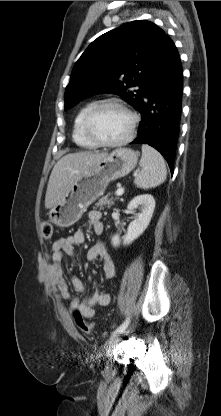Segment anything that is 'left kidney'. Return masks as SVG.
I'll return each instance as SVG.
<instances>
[{
	"mask_svg": "<svg viewBox=\"0 0 221 416\" xmlns=\"http://www.w3.org/2000/svg\"><path fill=\"white\" fill-rule=\"evenodd\" d=\"M127 208L132 213H134L135 210L139 208L140 212L136 214L134 213L135 218L129 224L127 234L123 239L124 245L131 244L148 227L154 212L155 200L153 196L149 194L139 195L130 201ZM111 243L114 247L119 246L121 243L120 237L118 235H114L112 237Z\"/></svg>",
	"mask_w": 221,
	"mask_h": 416,
	"instance_id": "1",
	"label": "left kidney"
}]
</instances>
